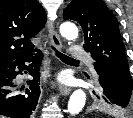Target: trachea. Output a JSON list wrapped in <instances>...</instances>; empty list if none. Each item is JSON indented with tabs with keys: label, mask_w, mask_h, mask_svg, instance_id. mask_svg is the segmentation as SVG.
<instances>
[{
	"label": "trachea",
	"mask_w": 133,
	"mask_h": 118,
	"mask_svg": "<svg viewBox=\"0 0 133 118\" xmlns=\"http://www.w3.org/2000/svg\"><path fill=\"white\" fill-rule=\"evenodd\" d=\"M52 49L55 51L56 55L62 60V61H70V62H78V60L73 59L59 51H57L53 46Z\"/></svg>",
	"instance_id": "1"
}]
</instances>
